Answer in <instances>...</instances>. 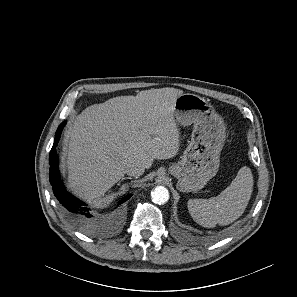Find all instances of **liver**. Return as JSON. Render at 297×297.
I'll return each instance as SVG.
<instances>
[{"instance_id":"obj_1","label":"liver","mask_w":297,"mask_h":297,"mask_svg":"<svg viewBox=\"0 0 297 297\" xmlns=\"http://www.w3.org/2000/svg\"><path fill=\"white\" fill-rule=\"evenodd\" d=\"M183 91L150 89L84 109L65 135L68 184L75 194L95 200L125 175L128 163L149 169L155 159L179 151L174 105Z\"/></svg>"}]
</instances>
